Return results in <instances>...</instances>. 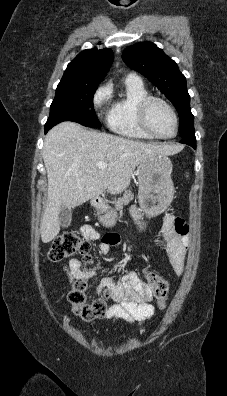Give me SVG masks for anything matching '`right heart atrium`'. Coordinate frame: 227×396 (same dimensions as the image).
Returning a JSON list of instances; mask_svg holds the SVG:
<instances>
[{
    "mask_svg": "<svg viewBox=\"0 0 227 396\" xmlns=\"http://www.w3.org/2000/svg\"><path fill=\"white\" fill-rule=\"evenodd\" d=\"M110 98V89L107 86L99 87L94 96H93V104L97 110H100L103 105L109 100Z\"/></svg>",
    "mask_w": 227,
    "mask_h": 396,
    "instance_id": "obj_1",
    "label": "right heart atrium"
}]
</instances>
